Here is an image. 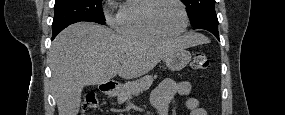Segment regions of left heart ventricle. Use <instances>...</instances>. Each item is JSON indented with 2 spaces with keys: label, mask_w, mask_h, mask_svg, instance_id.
Returning <instances> with one entry per match:
<instances>
[{
  "label": "left heart ventricle",
  "mask_w": 285,
  "mask_h": 115,
  "mask_svg": "<svg viewBox=\"0 0 285 115\" xmlns=\"http://www.w3.org/2000/svg\"><path fill=\"white\" fill-rule=\"evenodd\" d=\"M155 20L168 32L179 31L184 24L181 7L172 0L163 1L155 11Z\"/></svg>",
  "instance_id": "obj_1"
}]
</instances>
